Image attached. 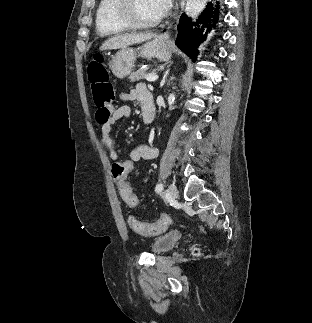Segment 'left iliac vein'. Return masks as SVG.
Segmentation results:
<instances>
[{
  "mask_svg": "<svg viewBox=\"0 0 312 323\" xmlns=\"http://www.w3.org/2000/svg\"><path fill=\"white\" fill-rule=\"evenodd\" d=\"M167 195L170 199L174 200L177 195V188L174 184H170L167 189Z\"/></svg>",
  "mask_w": 312,
  "mask_h": 323,
  "instance_id": "4c4485c4",
  "label": "left iliac vein"
}]
</instances>
